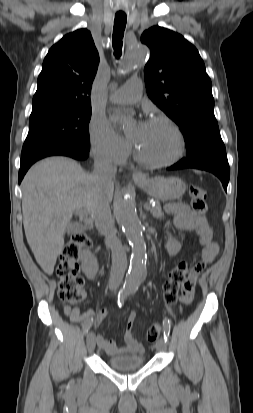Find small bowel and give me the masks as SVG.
<instances>
[{"label":"small bowel","instance_id":"obj_1","mask_svg":"<svg viewBox=\"0 0 253 413\" xmlns=\"http://www.w3.org/2000/svg\"><path fill=\"white\" fill-rule=\"evenodd\" d=\"M167 211L173 213L174 215V225L177 229L183 231H194L198 228V217L190 209V207L185 203H172L167 206ZM200 242L203 246L202 250V260L196 264L191 273H185L183 279L181 280L179 289L181 296V303L186 307H189L193 300L195 299L196 294V281L204 267L215 259L218 254L219 247L216 242L212 240V233L210 228L201 234ZM165 249L168 254L174 256L177 255L182 250V244L176 239L166 236L165 237ZM65 314L69 320L73 323L81 324L82 327L91 325L96 321L95 314L93 311H86L80 313L77 307L68 306L65 308ZM106 314V309L102 308L99 311V319L102 320ZM135 315L132 313L129 316L125 332L124 340L126 346L119 347L115 341L108 340L102 335L96 336L95 340L98 346L103 349L107 354L115 356L126 353H136L141 354L144 352V347L138 340L135 338L133 333V324H134Z\"/></svg>","mask_w":253,"mask_h":413}]
</instances>
